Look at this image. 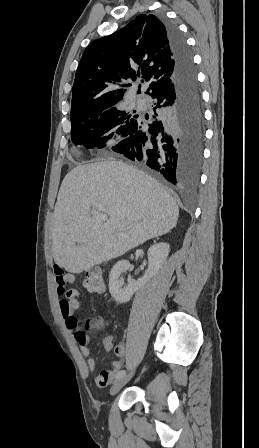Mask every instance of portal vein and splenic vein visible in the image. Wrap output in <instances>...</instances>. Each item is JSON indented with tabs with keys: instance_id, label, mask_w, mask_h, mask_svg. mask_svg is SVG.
<instances>
[{
	"instance_id": "portal-vein-and-splenic-vein-1",
	"label": "portal vein and splenic vein",
	"mask_w": 259,
	"mask_h": 448,
	"mask_svg": "<svg viewBox=\"0 0 259 448\" xmlns=\"http://www.w3.org/2000/svg\"><path fill=\"white\" fill-rule=\"evenodd\" d=\"M91 214H93L95 218H99V220H102V222H108L107 214H100V212H95V210H92Z\"/></svg>"
}]
</instances>
